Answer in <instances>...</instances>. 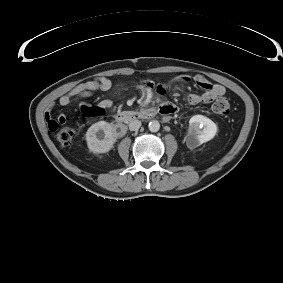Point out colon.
<instances>
[{
    "label": "colon",
    "mask_w": 283,
    "mask_h": 283,
    "mask_svg": "<svg viewBox=\"0 0 283 283\" xmlns=\"http://www.w3.org/2000/svg\"><path fill=\"white\" fill-rule=\"evenodd\" d=\"M212 111L217 115H228L230 112V104L227 99L219 97L212 104ZM58 126L53 130L55 132V139L62 147H68L72 144L74 132L68 127L58 129Z\"/></svg>",
    "instance_id": "colon-1"
}]
</instances>
